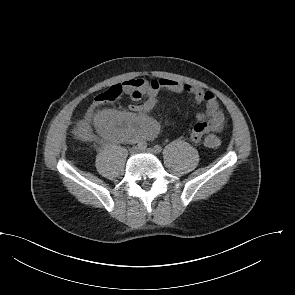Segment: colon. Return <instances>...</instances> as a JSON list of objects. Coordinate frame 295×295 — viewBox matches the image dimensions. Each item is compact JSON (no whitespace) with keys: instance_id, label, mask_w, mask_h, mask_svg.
<instances>
[{"instance_id":"colon-1","label":"colon","mask_w":295,"mask_h":295,"mask_svg":"<svg viewBox=\"0 0 295 295\" xmlns=\"http://www.w3.org/2000/svg\"><path fill=\"white\" fill-rule=\"evenodd\" d=\"M124 90L123 84H116L108 88L106 91L100 93L94 99V106L110 104L119 99ZM75 134L82 140L91 138V131L87 122L78 125L75 129ZM205 145L210 148H216L220 145V138L216 134H209L205 137Z\"/></svg>"}]
</instances>
